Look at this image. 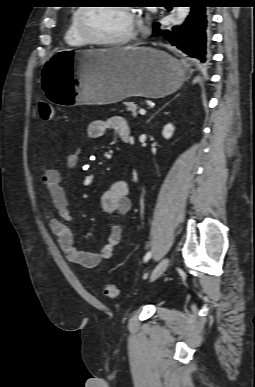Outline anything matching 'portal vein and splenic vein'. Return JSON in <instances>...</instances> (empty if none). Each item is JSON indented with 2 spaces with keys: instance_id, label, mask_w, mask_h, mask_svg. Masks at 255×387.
<instances>
[{
  "instance_id": "obj_1",
  "label": "portal vein and splenic vein",
  "mask_w": 255,
  "mask_h": 387,
  "mask_svg": "<svg viewBox=\"0 0 255 387\" xmlns=\"http://www.w3.org/2000/svg\"><path fill=\"white\" fill-rule=\"evenodd\" d=\"M139 113H140L141 115H145V114H146V111H145L144 109H140V110H139Z\"/></svg>"
}]
</instances>
